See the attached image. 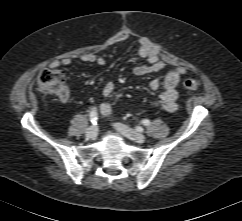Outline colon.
I'll return each instance as SVG.
<instances>
[{
    "instance_id": "5ec220e1",
    "label": "colon",
    "mask_w": 242,
    "mask_h": 221,
    "mask_svg": "<svg viewBox=\"0 0 242 221\" xmlns=\"http://www.w3.org/2000/svg\"><path fill=\"white\" fill-rule=\"evenodd\" d=\"M183 86L187 90H196L200 83L194 78H186L183 81ZM37 88L42 93L57 95L61 99L67 97L65 76L59 69H43L37 77Z\"/></svg>"
}]
</instances>
